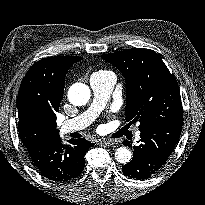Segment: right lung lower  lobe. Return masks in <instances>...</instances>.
Instances as JSON below:
<instances>
[{"mask_svg": "<svg viewBox=\"0 0 205 205\" xmlns=\"http://www.w3.org/2000/svg\"><path fill=\"white\" fill-rule=\"evenodd\" d=\"M68 142L64 145L60 137L45 139L26 146V151L44 177L57 182L69 181L82 173L85 153L94 144L84 138Z\"/></svg>", "mask_w": 205, "mask_h": 205, "instance_id": "98d812e1", "label": "right lung lower lobe"}]
</instances>
